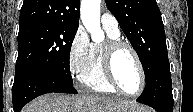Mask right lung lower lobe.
I'll return each mask as SVG.
<instances>
[{
    "label": "right lung lower lobe",
    "mask_w": 193,
    "mask_h": 112,
    "mask_svg": "<svg viewBox=\"0 0 193 112\" xmlns=\"http://www.w3.org/2000/svg\"><path fill=\"white\" fill-rule=\"evenodd\" d=\"M51 92L77 93L72 83L45 71H31L15 78L12 90L14 112H20L34 98Z\"/></svg>",
    "instance_id": "98d812e1"
}]
</instances>
